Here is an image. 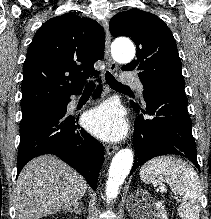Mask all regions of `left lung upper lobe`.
Instances as JSON below:
<instances>
[{
  "mask_svg": "<svg viewBox=\"0 0 211 219\" xmlns=\"http://www.w3.org/2000/svg\"><path fill=\"white\" fill-rule=\"evenodd\" d=\"M109 29L114 37L126 36L135 42L136 59L122 66V70L137 71L144 91L158 87L184 89L175 39L160 18L134 8L116 14Z\"/></svg>",
  "mask_w": 211,
  "mask_h": 219,
  "instance_id": "5c2ea615",
  "label": "left lung upper lobe"
}]
</instances>
